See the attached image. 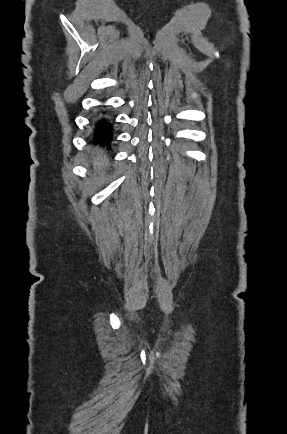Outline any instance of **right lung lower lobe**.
Returning a JSON list of instances; mask_svg holds the SVG:
<instances>
[{
    "label": "right lung lower lobe",
    "mask_w": 287,
    "mask_h": 434,
    "mask_svg": "<svg viewBox=\"0 0 287 434\" xmlns=\"http://www.w3.org/2000/svg\"><path fill=\"white\" fill-rule=\"evenodd\" d=\"M113 138L112 124L110 118L106 115H101L95 123L94 139L95 143L109 144Z\"/></svg>",
    "instance_id": "right-lung-lower-lobe-1"
}]
</instances>
